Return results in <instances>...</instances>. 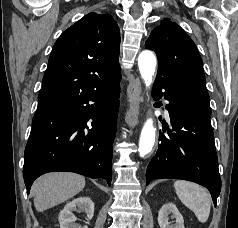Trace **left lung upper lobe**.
Segmentation results:
<instances>
[{
  "label": "left lung upper lobe",
  "instance_id": "left-lung-upper-lobe-1",
  "mask_svg": "<svg viewBox=\"0 0 238 228\" xmlns=\"http://www.w3.org/2000/svg\"><path fill=\"white\" fill-rule=\"evenodd\" d=\"M145 47L158 58L155 83H167L209 106L202 59L192 39L176 23L161 21L146 41Z\"/></svg>",
  "mask_w": 238,
  "mask_h": 228
}]
</instances>
